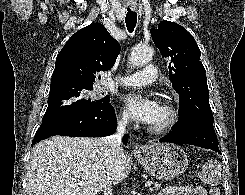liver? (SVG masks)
Listing matches in <instances>:
<instances>
[{
	"mask_svg": "<svg viewBox=\"0 0 245 195\" xmlns=\"http://www.w3.org/2000/svg\"><path fill=\"white\" fill-rule=\"evenodd\" d=\"M101 138L54 136L37 143L27 170V195H96L108 179L120 183L127 157L120 148L107 161ZM78 181H83L82 185Z\"/></svg>",
	"mask_w": 245,
	"mask_h": 195,
	"instance_id": "6515ba94",
	"label": "liver"
}]
</instances>
